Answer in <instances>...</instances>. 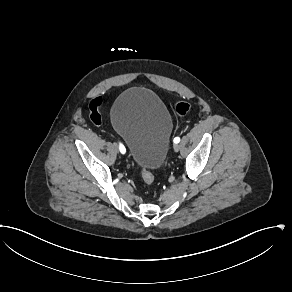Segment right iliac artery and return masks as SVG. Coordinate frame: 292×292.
<instances>
[{
  "instance_id": "right-iliac-artery-1",
  "label": "right iliac artery",
  "mask_w": 292,
  "mask_h": 292,
  "mask_svg": "<svg viewBox=\"0 0 292 292\" xmlns=\"http://www.w3.org/2000/svg\"><path fill=\"white\" fill-rule=\"evenodd\" d=\"M119 149H120V152L122 154H124L126 152V149H125V147H124V145L122 143H119Z\"/></svg>"
}]
</instances>
